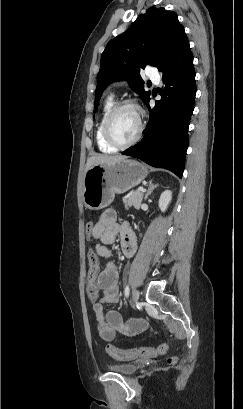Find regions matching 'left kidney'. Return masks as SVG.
<instances>
[{"label": "left kidney", "mask_w": 243, "mask_h": 409, "mask_svg": "<svg viewBox=\"0 0 243 409\" xmlns=\"http://www.w3.org/2000/svg\"><path fill=\"white\" fill-rule=\"evenodd\" d=\"M172 199V192L170 190H165L160 198H159V208L161 209L162 212H164L169 203L171 202Z\"/></svg>", "instance_id": "5707ae66"}]
</instances>
